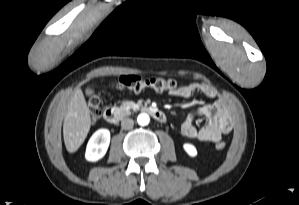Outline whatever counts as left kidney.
I'll list each match as a JSON object with an SVG mask.
<instances>
[{"instance_id": "5707ae66", "label": "left kidney", "mask_w": 299, "mask_h": 205, "mask_svg": "<svg viewBox=\"0 0 299 205\" xmlns=\"http://www.w3.org/2000/svg\"><path fill=\"white\" fill-rule=\"evenodd\" d=\"M184 150L186 151V153L191 156V157H195L197 155V150L195 148L194 145L189 144V143H185L183 145Z\"/></svg>"}]
</instances>
